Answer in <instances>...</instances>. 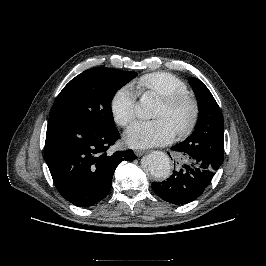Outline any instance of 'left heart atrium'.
<instances>
[{"mask_svg": "<svg viewBox=\"0 0 266 266\" xmlns=\"http://www.w3.org/2000/svg\"><path fill=\"white\" fill-rule=\"evenodd\" d=\"M175 136V129L165 118L152 121H137L125 132L126 143L134 148H148L169 143Z\"/></svg>", "mask_w": 266, "mask_h": 266, "instance_id": "1", "label": "left heart atrium"}]
</instances>
